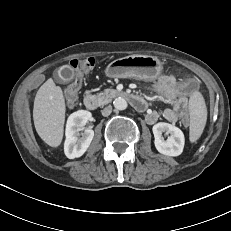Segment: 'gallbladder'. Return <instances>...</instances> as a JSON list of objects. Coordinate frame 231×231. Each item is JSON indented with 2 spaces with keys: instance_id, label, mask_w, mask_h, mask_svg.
<instances>
[{
  "instance_id": "bac80fb5",
  "label": "gallbladder",
  "mask_w": 231,
  "mask_h": 231,
  "mask_svg": "<svg viewBox=\"0 0 231 231\" xmlns=\"http://www.w3.org/2000/svg\"><path fill=\"white\" fill-rule=\"evenodd\" d=\"M74 70L69 66L61 67L56 74V80L60 83H68L74 79Z\"/></svg>"
}]
</instances>
